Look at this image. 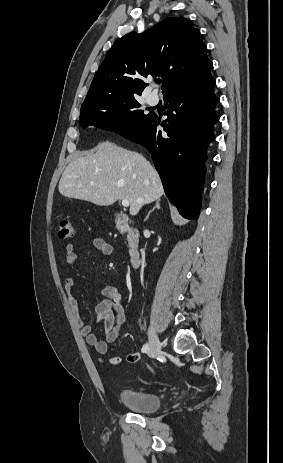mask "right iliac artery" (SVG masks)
Returning <instances> with one entry per match:
<instances>
[{"label": "right iliac artery", "mask_w": 283, "mask_h": 463, "mask_svg": "<svg viewBox=\"0 0 283 463\" xmlns=\"http://www.w3.org/2000/svg\"><path fill=\"white\" fill-rule=\"evenodd\" d=\"M149 350V347H148V344H145L143 347H142V352L145 353Z\"/></svg>", "instance_id": "1"}]
</instances>
